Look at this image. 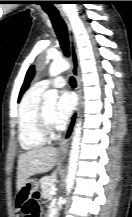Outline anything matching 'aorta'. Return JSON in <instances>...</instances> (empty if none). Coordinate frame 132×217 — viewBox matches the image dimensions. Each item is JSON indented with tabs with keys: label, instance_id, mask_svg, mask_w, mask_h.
Instances as JSON below:
<instances>
[{
	"label": "aorta",
	"instance_id": "aorta-1",
	"mask_svg": "<svg viewBox=\"0 0 132 217\" xmlns=\"http://www.w3.org/2000/svg\"><path fill=\"white\" fill-rule=\"evenodd\" d=\"M70 65L67 61L61 60H54L49 68V75L51 77L57 76L65 70H68ZM44 102L46 104L55 105L58 92L55 89L47 90L44 95ZM81 130H82V121L79 119L76 123L74 129V135L71 143V150L69 154V166H68V180L73 181L77 172V164L80 152V141H81Z\"/></svg>",
	"mask_w": 132,
	"mask_h": 217
}]
</instances>
